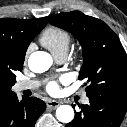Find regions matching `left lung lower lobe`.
Returning a JSON list of instances; mask_svg holds the SVG:
<instances>
[{
    "label": "left lung lower lobe",
    "mask_w": 127,
    "mask_h": 127,
    "mask_svg": "<svg viewBox=\"0 0 127 127\" xmlns=\"http://www.w3.org/2000/svg\"><path fill=\"white\" fill-rule=\"evenodd\" d=\"M89 104L65 127H119L127 110V97L101 94L88 96Z\"/></svg>",
    "instance_id": "obj_1"
}]
</instances>
